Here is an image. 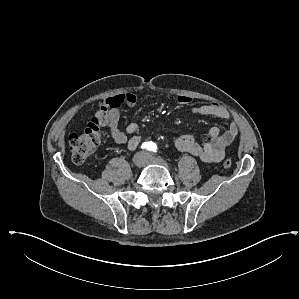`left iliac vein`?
I'll list each match as a JSON object with an SVG mask.
<instances>
[{
    "instance_id": "obj_1",
    "label": "left iliac vein",
    "mask_w": 299,
    "mask_h": 299,
    "mask_svg": "<svg viewBox=\"0 0 299 299\" xmlns=\"http://www.w3.org/2000/svg\"><path fill=\"white\" fill-rule=\"evenodd\" d=\"M147 162L160 164V165H163L165 167H168V165L162 159L152 157L150 154H147Z\"/></svg>"
}]
</instances>
